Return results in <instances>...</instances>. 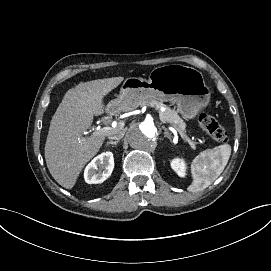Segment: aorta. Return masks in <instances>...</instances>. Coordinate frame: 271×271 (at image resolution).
Instances as JSON below:
<instances>
[{
  "instance_id": "762f6f07",
  "label": "aorta",
  "mask_w": 271,
  "mask_h": 271,
  "mask_svg": "<svg viewBox=\"0 0 271 271\" xmlns=\"http://www.w3.org/2000/svg\"><path fill=\"white\" fill-rule=\"evenodd\" d=\"M157 139V127L152 119L134 122L128 132L129 145L140 152H149L154 149Z\"/></svg>"
}]
</instances>
